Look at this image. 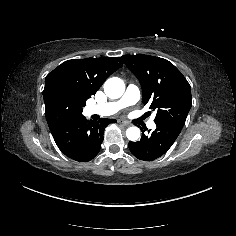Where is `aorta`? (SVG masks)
I'll list each match as a JSON object with an SVG mask.
<instances>
[{
  "label": "aorta",
  "instance_id": "obj_1",
  "mask_svg": "<svg viewBox=\"0 0 236 236\" xmlns=\"http://www.w3.org/2000/svg\"><path fill=\"white\" fill-rule=\"evenodd\" d=\"M125 91L123 81L117 77L106 80L104 84V92L111 99H117L122 96ZM126 136L130 141H137L140 138V129L136 126L129 127L126 130Z\"/></svg>",
  "mask_w": 236,
  "mask_h": 236
}]
</instances>
